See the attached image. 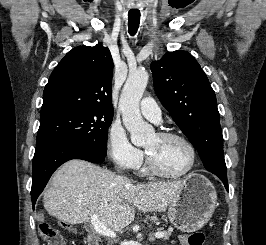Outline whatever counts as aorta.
Masks as SVG:
<instances>
[{"label":"aorta","mask_w":266,"mask_h":245,"mask_svg":"<svg viewBox=\"0 0 266 245\" xmlns=\"http://www.w3.org/2000/svg\"><path fill=\"white\" fill-rule=\"evenodd\" d=\"M148 78L147 70L129 72L119 98L123 125L131 135V143L136 147L145 145L148 137L154 135L153 127L144 123L139 108L140 98L147 86Z\"/></svg>","instance_id":"762f6f07"}]
</instances>
